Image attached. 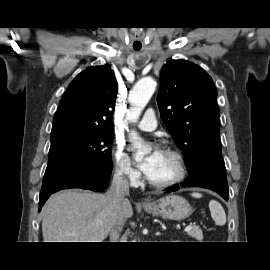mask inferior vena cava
<instances>
[{
  "label": "inferior vena cava",
  "instance_id": "602c4592",
  "mask_svg": "<svg viewBox=\"0 0 270 270\" xmlns=\"http://www.w3.org/2000/svg\"><path fill=\"white\" fill-rule=\"evenodd\" d=\"M114 198L115 203L118 206L119 212L121 211L122 204L125 201V196L129 195V183L126 177L124 176V171L117 169L114 173L111 187L108 192ZM120 217L122 215L120 214ZM125 220L123 222L118 221L111 230L110 238L112 242H118L120 232L123 229Z\"/></svg>",
  "mask_w": 270,
  "mask_h": 270
}]
</instances>
